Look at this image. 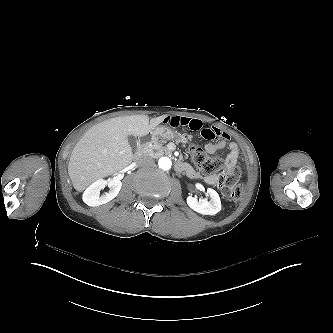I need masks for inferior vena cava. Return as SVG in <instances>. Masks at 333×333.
I'll list each match as a JSON object with an SVG mask.
<instances>
[{"mask_svg": "<svg viewBox=\"0 0 333 333\" xmlns=\"http://www.w3.org/2000/svg\"><path fill=\"white\" fill-rule=\"evenodd\" d=\"M140 166H153L154 165V159L149 156H143L140 159H138L137 162Z\"/></svg>", "mask_w": 333, "mask_h": 333, "instance_id": "1", "label": "inferior vena cava"}]
</instances>
